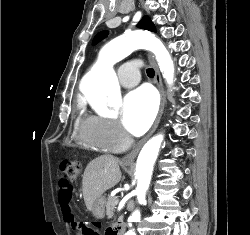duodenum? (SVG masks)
<instances>
[{"label":"duodenum","mask_w":250,"mask_h":235,"mask_svg":"<svg viewBox=\"0 0 250 235\" xmlns=\"http://www.w3.org/2000/svg\"><path fill=\"white\" fill-rule=\"evenodd\" d=\"M124 226L119 225L114 230H112L111 235H123Z\"/></svg>","instance_id":"duodenum-1"}]
</instances>
